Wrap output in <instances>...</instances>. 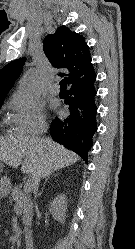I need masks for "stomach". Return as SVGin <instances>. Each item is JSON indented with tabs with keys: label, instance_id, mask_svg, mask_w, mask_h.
<instances>
[{
	"label": "stomach",
	"instance_id": "1",
	"mask_svg": "<svg viewBox=\"0 0 135 249\" xmlns=\"http://www.w3.org/2000/svg\"><path fill=\"white\" fill-rule=\"evenodd\" d=\"M2 167V164H1V162H0V168Z\"/></svg>",
	"mask_w": 135,
	"mask_h": 249
}]
</instances>
